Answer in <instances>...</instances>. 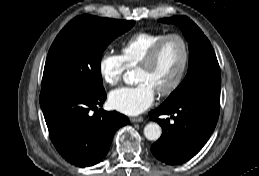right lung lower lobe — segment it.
<instances>
[{
    "label": "right lung lower lobe",
    "instance_id": "right-lung-lower-lobe-1",
    "mask_svg": "<svg viewBox=\"0 0 259 176\" xmlns=\"http://www.w3.org/2000/svg\"><path fill=\"white\" fill-rule=\"evenodd\" d=\"M105 90L62 88L42 90L40 106L57 151L78 167L92 166L107 154L116 130L129 123L126 116L97 110ZM94 111V114L91 113Z\"/></svg>",
    "mask_w": 259,
    "mask_h": 176
}]
</instances>
